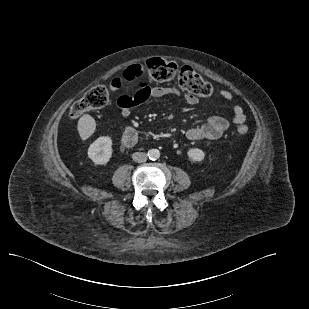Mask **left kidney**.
I'll return each instance as SVG.
<instances>
[{
	"instance_id": "obj_1",
	"label": "left kidney",
	"mask_w": 309,
	"mask_h": 309,
	"mask_svg": "<svg viewBox=\"0 0 309 309\" xmlns=\"http://www.w3.org/2000/svg\"><path fill=\"white\" fill-rule=\"evenodd\" d=\"M187 155L193 162H201L205 157V153L199 148H191L188 150Z\"/></svg>"
}]
</instances>
